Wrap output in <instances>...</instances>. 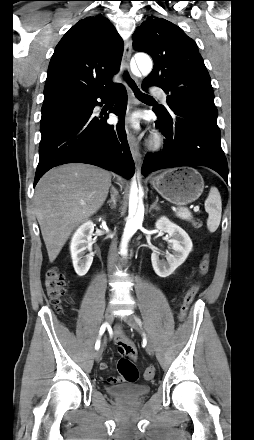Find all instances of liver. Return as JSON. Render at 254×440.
I'll return each instance as SVG.
<instances>
[{
    "mask_svg": "<svg viewBox=\"0 0 254 440\" xmlns=\"http://www.w3.org/2000/svg\"><path fill=\"white\" fill-rule=\"evenodd\" d=\"M110 185V172L81 163L53 168L39 180L35 214L51 263L72 231L103 205Z\"/></svg>",
    "mask_w": 254,
    "mask_h": 440,
    "instance_id": "obj_1",
    "label": "liver"
}]
</instances>
